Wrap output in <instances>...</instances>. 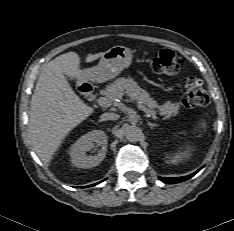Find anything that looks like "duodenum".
Wrapping results in <instances>:
<instances>
[{
	"label": "duodenum",
	"instance_id": "obj_1",
	"mask_svg": "<svg viewBox=\"0 0 234 231\" xmlns=\"http://www.w3.org/2000/svg\"><path fill=\"white\" fill-rule=\"evenodd\" d=\"M79 90L87 94L88 96L93 95V89L92 86L89 83H80L79 84Z\"/></svg>",
	"mask_w": 234,
	"mask_h": 231
}]
</instances>
